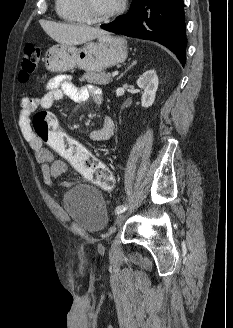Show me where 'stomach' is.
Wrapping results in <instances>:
<instances>
[{"label": "stomach", "instance_id": "0dacf381", "mask_svg": "<svg viewBox=\"0 0 233 328\" xmlns=\"http://www.w3.org/2000/svg\"><path fill=\"white\" fill-rule=\"evenodd\" d=\"M127 58L123 38L104 34L97 42L89 41L81 47L55 45L45 54V66L51 72H65L79 67L88 72H101L122 63Z\"/></svg>", "mask_w": 233, "mask_h": 328}]
</instances>
